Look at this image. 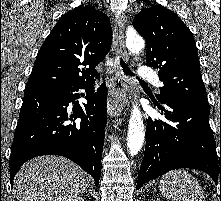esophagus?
I'll return each mask as SVG.
<instances>
[{"label": "esophagus", "instance_id": "obj_1", "mask_svg": "<svg viewBox=\"0 0 221 201\" xmlns=\"http://www.w3.org/2000/svg\"><path fill=\"white\" fill-rule=\"evenodd\" d=\"M124 21V15L122 13H118L114 24V48L116 54L127 62L128 54L124 43ZM112 81L113 85L107 102V111L111 117H116L119 116L124 109L123 103L128 90L127 81L122 73L119 63H117L113 68Z\"/></svg>", "mask_w": 221, "mask_h": 201}]
</instances>
